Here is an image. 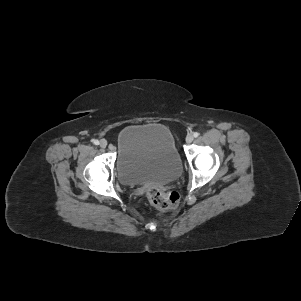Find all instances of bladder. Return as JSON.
Returning <instances> with one entry per match:
<instances>
[{"label":"bladder","instance_id":"bladder-1","mask_svg":"<svg viewBox=\"0 0 301 301\" xmlns=\"http://www.w3.org/2000/svg\"><path fill=\"white\" fill-rule=\"evenodd\" d=\"M116 172L124 185L167 184L182 170L170 130L156 123L124 127L117 136Z\"/></svg>","mask_w":301,"mask_h":301}]
</instances>
